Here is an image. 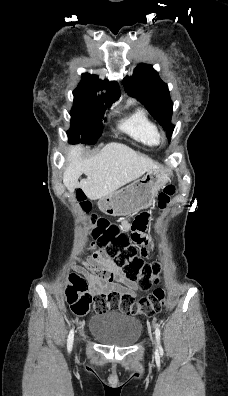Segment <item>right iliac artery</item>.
Instances as JSON below:
<instances>
[{
	"mask_svg": "<svg viewBox=\"0 0 228 396\" xmlns=\"http://www.w3.org/2000/svg\"><path fill=\"white\" fill-rule=\"evenodd\" d=\"M73 339H74V329L69 332L68 339H67V349L68 352H71L73 346Z\"/></svg>",
	"mask_w": 228,
	"mask_h": 396,
	"instance_id": "82829eb1",
	"label": "right iliac artery"
}]
</instances>
